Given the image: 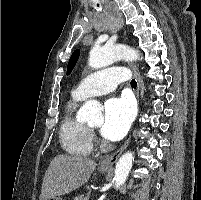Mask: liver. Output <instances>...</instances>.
Here are the masks:
<instances>
[{"label": "liver", "mask_w": 201, "mask_h": 200, "mask_svg": "<svg viewBox=\"0 0 201 200\" xmlns=\"http://www.w3.org/2000/svg\"><path fill=\"white\" fill-rule=\"evenodd\" d=\"M96 166L91 159L57 155L45 172L39 200H48L78 189L88 181Z\"/></svg>", "instance_id": "1"}]
</instances>
